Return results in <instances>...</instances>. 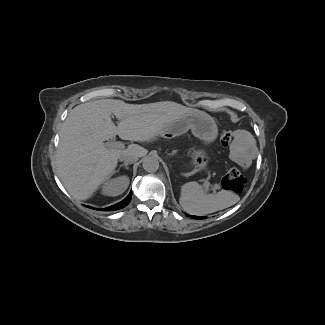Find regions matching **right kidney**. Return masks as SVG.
Listing matches in <instances>:
<instances>
[{"mask_svg": "<svg viewBox=\"0 0 325 325\" xmlns=\"http://www.w3.org/2000/svg\"><path fill=\"white\" fill-rule=\"evenodd\" d=\"M129 185L127 176H119L113 179H106L102 185V194L107 196H117L122 194Z\"/></svg>", "mask_w": 325, "mask_h": 325, "instance_id": "obj_1", "label": "right kidney"}]
</instances>
